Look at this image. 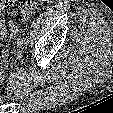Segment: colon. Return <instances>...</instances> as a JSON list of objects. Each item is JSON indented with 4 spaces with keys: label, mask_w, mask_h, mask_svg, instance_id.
Masks as SVG:
<instances>
[{
    "label": "colon",
    "mask_w": 113,
    "mask_h": 113,
    "mask_svg": "<svg viewBox=\"0 0 113 113\" xmlns=\"http://www.w3.org/2000/svg\"><path fill=\"white\" fill-rule=\"evenodd\" d=\"M14 1L17 0H0V7L13 4ZM35 4H36L35 0H24L20 5V12L24 16L29 15L34 10ZM7 60H8L7 54L3 51H0V70L6 64Z\"/></svg>",
    "instance_id": "colon-1"
}]
</instances>
